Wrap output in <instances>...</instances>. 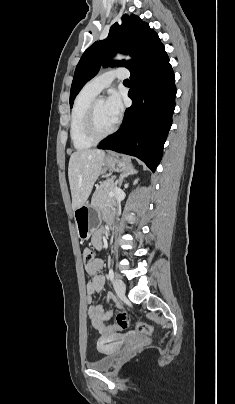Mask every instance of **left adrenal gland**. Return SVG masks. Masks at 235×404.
I'll return each instance as SVG.
<instances>
[{
	"instance_id": "1",
	"label": "left adrenal gland",
	"mask_w": 235,
	"mask_h": 404,
	"mask_svg": "<svg viewBox=\"0 0 235 404\" xmlns=\"http://www.w3.org/2000/svg\"><path fill=\"white\" fill-rule=\"evenodd\" d=\"M137 172H138V171L135 170L134 167H131L130 169H128V170L122 172V173L120 174V177H119V185H120V186L122 185V182H123L124 178L128 177L129 175L136 174Z\"/></svg>"
}]
</instances>
